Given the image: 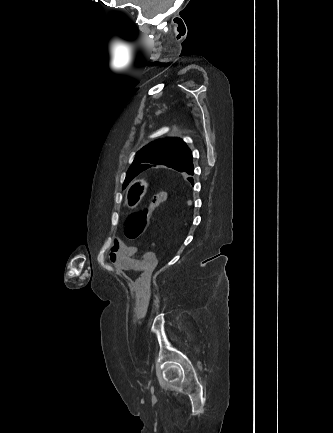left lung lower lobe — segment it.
Listing matches in <instances>:
<instances>
[{
    "label": "left lung lower lobe",
    "instance_id": "1",
    "mask_svg": "<svg viewBox=\"0 0 333 433\" xmlns=\"http://www.w3.org/2000/svg\"><path fill=\"white\" fill-rule=\"evenodd\" d=\"M151 167H153V165H145L143 167L144 168L143 170H146V169L151 168ZM183 172H186V173H188L190 175H194V167H193V165L188 170L183 171ZM188 180L193 184L192 178H188Z\"/></svg>",
    "mask_w": 333,
    "mask_h": 433
}]
</instances>
